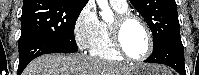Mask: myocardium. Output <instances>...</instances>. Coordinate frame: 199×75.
<instances>
[{
  "label": "myocardium",
  "mask_w": 199,
  "mask_h": 75,
  "mask_svg": "<svg viewBox=\"0 0 199 75\" xmlns=\"http://www.w3.org/2000/svg\"><path fill=\"white\" fill-rule=\"evenodd\" d=\"M133 20L141 24V26L143 27L146 33L147 40H148L147 51L144 53V55L137 58L132 57L127 53L122 42V30L124 26L129 21H133ZM108 29H109V34H110L112 43L114 45V48L126 60L133 61V62H142V61H145L151 55L153 51V47H154L152 32L148 24L146 23V21L140 16L133 13L118 14L115 17V19L109 24Z\"/></svg>",
  "instance_id": "1"
}]
</instances>
